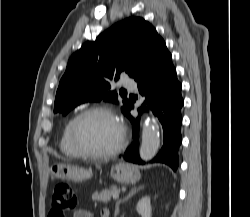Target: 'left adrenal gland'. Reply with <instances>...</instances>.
Listing matches in <instances>:
<instances>
[{"label": "left adrenal gland", "mask_w": 250, "mask_h": 217, "mask_svg": "<svg viewBox=\"0 0 250 217\" xmlns=\"http://www.w3.org/2000/svg\"><path fill=\"white\" fill-rule=\"evenodd\" d=\"M143 189V186H139L138 188L137 187H134L131 189V191L128 193V195L123 198L122 200H118L116 202V206H115V217L119 214V205L121 202H125L126 200H128L129 198H131L136 192H138L139 190Z\"/></svg>", "instance_id": "1"}]
</instances>
